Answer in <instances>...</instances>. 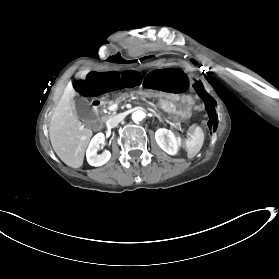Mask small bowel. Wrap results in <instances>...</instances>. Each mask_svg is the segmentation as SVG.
<instances>
[{
    "mask_svg": "<svg viewBox=\"0 0 279 279\" xmlns=\"http://www.w3.org/2000/svg\"><path fill=\"white\" fill-rule=\"evenodd\" d=\"M143 86L158 93L181 94L187 90L188 77L173 67H163L147 73Z\"/></svg>",
    "mask_w": 279,
    "mask_h": 279,
    "instance_id": "1",
    "label": "small bowel"
}]
</instances>
